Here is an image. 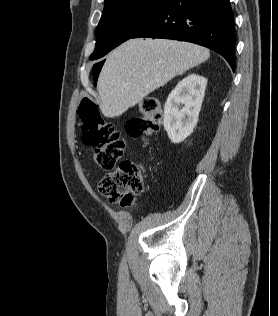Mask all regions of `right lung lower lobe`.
Wrapping results in <instances>:
<instances>
[{
    "label": "right lung lower lobe",
    "mask_w": 278,
    "mask_h": 316,
    "mask_svg": "<svg viewBox=\"0 0 278 316\" xmlns=\"http://www.w3.org/2000/svg\"><path fill=\"white\" fill-rule=\"evenodd\" d=\"M188 41L222 55L235 70L234 15L229 0H167L132 38ZM98 74H94L95 81Z\"/></svg>",
    "instance_id": "98d812e1"
}]
</instances>
